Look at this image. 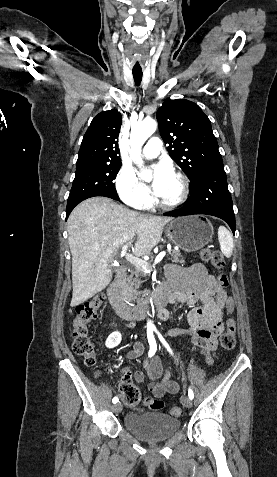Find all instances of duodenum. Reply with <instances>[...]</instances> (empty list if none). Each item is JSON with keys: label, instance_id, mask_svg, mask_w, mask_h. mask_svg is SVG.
<instances>
[{"label": "duodenum", "instance_id": "duodenum-1", "mask_svg": "<svg viewBox=\"0 0 277 477\" xmlns=\"http://www.w3.org/2000/svg\"><path fill=\"white\" fill-rule=\"evenodd\" d=\"M125 280L126 270L119 268L115 281L107 290V296L115 312L126 321H138L143 319L151 308L164 312L168 304L175 302V297L171 293L161 291L150 301L138 306H130L125 302L122 294Z\"/></svg>", "mask_w": 277, "mask_h": 477}]
</instances>
